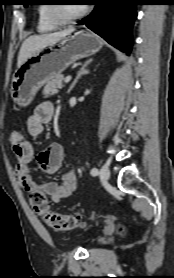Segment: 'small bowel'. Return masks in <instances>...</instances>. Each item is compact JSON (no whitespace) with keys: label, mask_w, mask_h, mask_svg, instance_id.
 Returning <instances> with one entry per match:
<instances>
[{"label":"small bowel","mask_w":174,"mask_h":278,"mask_svg":"<svg viewBox=\"0 0 174 278\" xmlns=\"http://www.w3.org/2000/svg\"><path fill=\"white\" fill-rule=\"evenodd\" d=\"M54 115V106L51 102H43L37 105L32 115L27 120L28 133L39 136ZM12 151L16 158L15 177L18 185L26 192L38 191L50 196L55 203L70 197L77 189L76 172L71 166H67L63 174V184L56 182L37 183L33 180L30 172V164L35 159L32 144L24 139L18 144H12ZM64 150L59 143H51L36 157L40 168L47 173H55L64 163Z\"/></svg>","instance_id":"obj_1"}]
</instances>
